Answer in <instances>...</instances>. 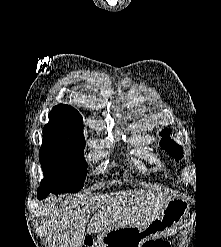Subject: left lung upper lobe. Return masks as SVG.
<instances>
[{"label":"left lung upper lobe","mask_w":221,"mask_h":247,"mask_svg":"<svg viewBox=\"0 0 221 247\" xmlns=\"http://www.w3.org/2000/svg\"><path fill=\"white\" fill-rule=\"evenodd\" d=\"M169 133L170 130H168L167 128L160 132V135L163 137L160 142V146L172 157H175L176 160H179L183 157L182 147L169 138Z\"/></svg>","instance_id":"left-lung-upper-lobe-1"}]
</instances>
